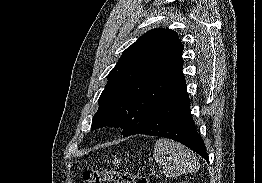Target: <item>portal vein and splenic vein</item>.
Returning a JSON list of instances; mask_svg holds the SVG:
<instances>
[{"mask_svg": "<svg viewBox=\"0 0 262 183\" xmlns=\"http://www.w3.org/2000/svg\"><path fill=\"white\" fill-rule=\"evenodd\" d=\"M151 175H156V171H152V172H151Z\"/></svg>", "mask_w": 262, "mask_h": 183, "instance_id": "18ae733b", "label": "portal vein and splenic vein"}]
</instances>
